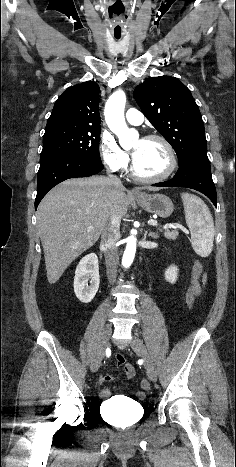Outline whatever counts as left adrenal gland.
I'll return each mask as SVG.
<instances>
[{"label":"left adrenal gland","mask_w":236,"mask_h":467,"mask_svg":"<svg viewBox=\"0 0 236 467\" xmlns=\"http://www.w3.org/2000/svg\"><path fill=\"white\" fill-rule=\"evenodd\" d=\"M145 235H147V232L145 233ZM148 237H151L152 239H157V238H158V234L155 233V232H149V233H148Z\"/></svg>","instance_id":"a2214340"}]
</instances>
